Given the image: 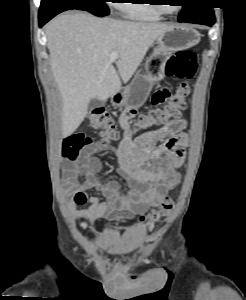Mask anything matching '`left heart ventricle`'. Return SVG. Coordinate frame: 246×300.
<instances>
[{
    "instance_id": "obj_1",
    "label": "left heart ventricle",
    "mask_w": 246,
    "mask_h": 300,
    "mask_svg": "<svg viewBox=\"0 0 246 300\" xmlns=\"http://www.w3.org/2000/svg\"><path fill=\"white\" fill-rule=\"evenodd\" d=\"M165 7L170 12H174L178 8V6H176V5H169V6H165Z\"/></svg>"
}]
</instances>
